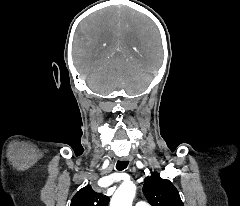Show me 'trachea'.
I'll return each instance as SVG.
<instances>
[{"label":"trachea","instance_id":"trachea-1","mask_svg":"<svg viewBox=\"0 0 240 206\" xmlns=\"http://www.w3.org/2000/svg\"><path fill=\"white\" fill-rule=\"evenodd\" d=\"M129 161H118L116 164V168L121 171L128 166Z\"/></svg>","mask_w":240,"mask_h":206}]
</instances>
